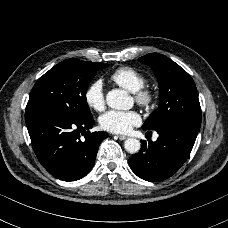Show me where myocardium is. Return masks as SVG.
Masks as SVG:
<instances>
[{
	"label": "myocardium",
	"instance_id": "1",
	"mask_svg": "<svg viewBox=\"0 0 228 228\" xmlns=\"http://www.w3.org/2000/svg\"><path fill=\"white\" fill-rule=\"evenodd\" d=\"M135 99L139 105L147 106L151 104L154 100L153 91L147 86L141 87L139 90L134 93Z\"/></svg>",
	"mask_w": 228,
	"mask_h": 228
}]
</instances>
